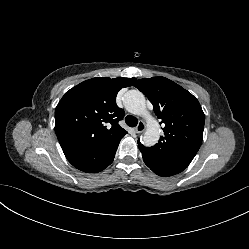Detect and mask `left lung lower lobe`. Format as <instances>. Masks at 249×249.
Instances as JSON below:
<instances>
[{
	"mask_svg": "<svg viewBox=\"0 0 249 249\" xmlns=\"http://www.w3.org/2000/svg\"><path fill=\"white\" fill-rule=\"evenodd\" d=\"M145 164L157 175L172 176L182 172L190 163L154 156L139 147Z\"/></svg>",
	"mask_w": 249,
	"mask_h": 249,
	"instance_id": "obj_1",
	"label": "left lung lower lobe"
}]
</instances>
